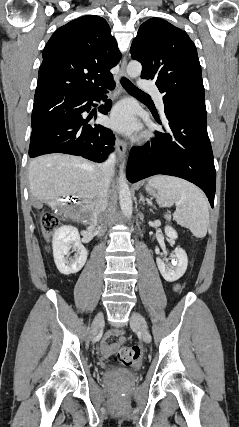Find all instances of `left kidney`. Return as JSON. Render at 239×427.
Here are the masks:
<instances>
[{
	"instance_id": "left-kidney-1",
	"label": "left kidney",
	"mask_w": 239,
	"mask_h": 427,
	"mask_svg": "<svg viewBox=\"0 0 239 427\" xmlns=\"http://www.w3.org/2000/svg\"><path fill=\"white\" fill-rule=\"evenodd\" d=\"M165 233L166 235L171 239H177L178 234L177 232L171 227L166 226L165 227ZM156 254L159 253V249L155 248ZM172 257V263H167L161 260L160 258L156 259L158 269L164 279L168 282H174L178 280L180 277H182L187 269L188 265V258L186 252L180 248L177 247L173 253H171Z\"/></svg>"
}]
</instances>
